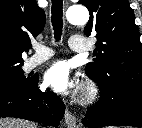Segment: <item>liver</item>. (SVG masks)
Masks as SVG:
<instances>
[{
	"instance_id": "obj_1",
	"label": "liver",
	"mask_w": 142,
	"mask_h": 128,
	"mask_svg": "<svg viewBox=\"0 0 142 128\" xmlns=\"http://www.w3.org/2000/svg\"><path fill=\"white\" fill-rule=\"evenodd\" d=\"M0 128H38V125L23 119L0 118Z\"/></svg>"
}]
</instances>
